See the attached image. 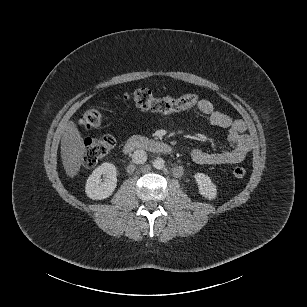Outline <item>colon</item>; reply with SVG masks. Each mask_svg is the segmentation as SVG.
I'll return each mask as SVG.
<instances>
[{"label":"colon","mask_w":307,"mask_h":307,"mask_svg":"<svg viewBox=\"0 0 307 307\" xmlns=\"http://www.w3.org/2000/svg\"><path fill=\"white\" fill-rule=\"evenodd\" d=\"M121 99L141 110L164 114L191 108L199 102V96L195 93L184 94L178 98L155 97L148 88H138L133 92H126ZM101 121L102 115L96 109L86 110L79 118V124L86 129L99 127ZM114 144L115 141L111 136L88 138L85 142V165L88 167L97 165L111 152ZM232 174L236 179H242L246 175V170L241 166H236L233 168Z\"/></svg>","instance_id":"5ec220e1"}]
</instances>
